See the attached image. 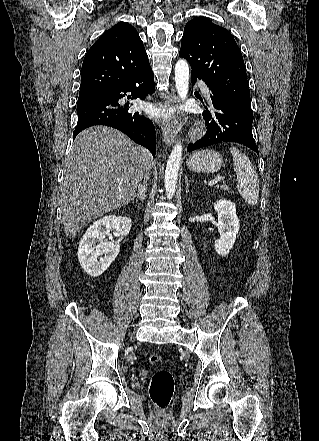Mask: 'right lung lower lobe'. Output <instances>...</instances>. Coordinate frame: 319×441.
<instances>
[{
    "label": "right lung lower lobe",
    "mask_w": 319,
    "mask_h": 441,
    "mask_svg": "<svg viewBox=\"0 0 319 441\" xmlns=\"http://www.w3.org/2000/svg\"><path fill=\"white\" fill-rule=\"evenodd\" d=\"M154 75L148 70L143 75L128 81L120 87L84 104L77 105L78 122L73 132L75 138L82 130L94 125H106L116 128L136 143L156 154L155 129L151 120L140 116L138 112L128 113L126 106L118 104L124 94L131 92L132 99H144L154 92Z\"/></svg>",
    "instance_id": "right-lung-lower-lobe-1"
}]
</instances>
